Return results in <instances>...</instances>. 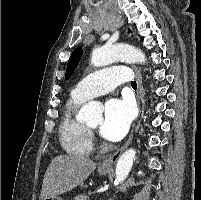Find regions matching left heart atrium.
Wrapping results in <instances>:
<instances>
[{"instance_id": "left-heart-atrium-1", "label": "left heart atrium", "mask_w": 201, "mask_h": 200, "mask_svg": "<svg viewBox=\"0 0 201 200\" xmlns=\"http://www.w3.org/2000/svg\"><path fill=\"white\" fill-rule=\"evenodd\" d=\"M133 118L132 107L126 100L111 99L105 105L100 134L109 141H119L128 132Z\"/></svg>"}]
</instances>
